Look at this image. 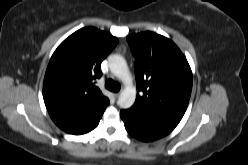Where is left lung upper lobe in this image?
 I'll list each match as a JSON object with an SVG mask.
<instances>
[{
    "label": "left lung upper lobe",
    "instance_id": "1",
    "mask_svg": "<svg viewBox=\"0 0 248 165\" xmlns=\"http://www.w3.org/2000/svg\"><path fill=\"white\" fill-rule=\"evenodd\" d=\"M127 41L135 57L137 82L136 101L127 111L174 129L192 90L186 57L170 39L153 32L129 35Z\"/></svg>",
    "mask_w": 248,
    "mask_h": 165
}]
</instances>
